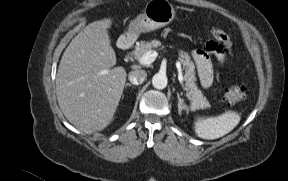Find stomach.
Listing matches in <instances>:
<instances>
[{"label":"stomach","instance_id":"obj_1","mask_svg":"<svg viewBox=\"0 0 288 181\" xmlns=\"http://www.w3.org/2000/svg\"><path fill=\"white\" fill-rule=\"evenodd\" d=\"M175 9L168 0H150L144 12L129 24L128 30L121 35L118 43L121 47L134 41L141 33L155 31L171 23L175 18Z\"/></svg>","mask_w":288,"mask_h":181}]
</instances>
